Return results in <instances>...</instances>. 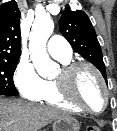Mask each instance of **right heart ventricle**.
<instances>
[{"label":"right heart ventricle","mask_w":117,"mask_h":131,"mask_svg":"<svg viewBox=\"0 0 117 131\" xmlns=\"http://www.w3.org/2000/svg\"><path fill=\"white\" fill-rule=\"evenodd\" d=\"M71 59L59 60L62 64L66 65L70 63ZM45 89L37 101L41 103L62 108L68 111L79 113L80 109L67 102L59 93L55 80L45 81Z\"/></svg>","instance_id":"right-heart-ventricle-1"}]
</instances>
